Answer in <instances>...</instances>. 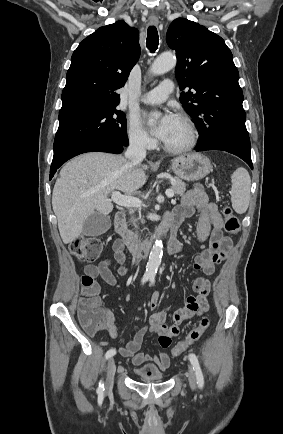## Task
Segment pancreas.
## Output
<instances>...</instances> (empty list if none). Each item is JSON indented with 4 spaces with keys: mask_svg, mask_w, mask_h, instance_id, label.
Returning <instances> with one entry per match:
<instances>
[{
    "mask_svg": "<svg viewBox=\"0 0 283 434\" xmlns=\"http://www.w3.org/2000/svg\"><path fill=\"white\" fill-rule=\"evenodd\" d=\"M171 183H172L171 189L177 196H182L185 193L186 184L182 182V180H180L177 177H174L172 178Z\"/></svg>",
    "mask_w": 283,
    "mask_h": 434,
    "instance_id": "1",
    "label": "pancreas"
}]
</instances>
